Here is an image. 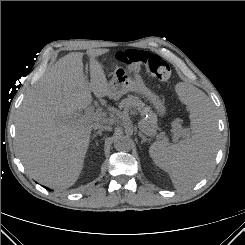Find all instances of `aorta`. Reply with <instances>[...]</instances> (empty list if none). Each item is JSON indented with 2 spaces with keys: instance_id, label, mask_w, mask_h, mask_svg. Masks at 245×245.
<instances>
[{
  "instance_id": "obj_1",
  "label": "aorta",
  "mask_w": 245,
  "mask_h": 245,
  "mask_svg": "<svg viewBox=\"0 0 245 245\" xmlns=\"http://www.w3.org/2000/svg\"><path fill=\"white\" fill-rule=\"evenodd\" d=\"M132 147V140L129 136L119 135L114 140V148L118 151H129Z\"/></svg>"
}]
</instances>
